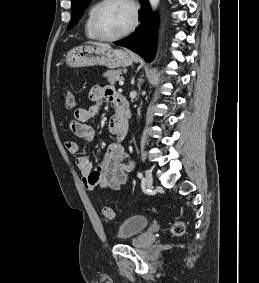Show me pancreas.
<instances>
[{
  "mask_svg": "<svg viewBox=\"0 0 259 283\" xmlns=\"http://www.w3.org/2000/svg\"><path fill=\"white\" fill-rule=\"evenodd\" d=\"M122 74V71L117 70H108L104 73V77H106L110 84H115L119 80V76Z\"/></svg>",
  "mask_w": 259,
  "mask_h": 283,
  "instance_id": "1",
  "label": "pancreas"
}]
</instances>
